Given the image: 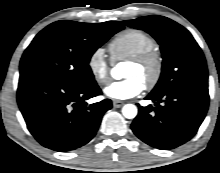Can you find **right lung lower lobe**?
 Wrapping results in <instances>:
<instances>
[{
    "mask_svg": "<svg viewBox=\"0 0 220 173\" xmlns=\"http://www.w3.org/2000/svg\"><path fill=\"white\" fill-rule=\"evenodd\" d=\"M101 94L96 82L78 86L47 76H20L17 101L34 138L46 148L66 152L88 143L112 108L109 99L89 106L85 102Z\"/></svg>",
    "mask_w": 220,
    "mask_h": 173,
    "instance_id": "1",
    "label": "right lung lower lobe"
}]
</instances>
